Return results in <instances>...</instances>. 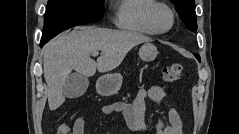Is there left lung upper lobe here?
Returning a JSON list of instances; mask_svg holds the SVG:
<instances>
[{"label": "left lung upper lobe", "instance_id": "obj_1", "mask_svg": "<svg viewBox=\"0 0 239 134\" xmlns=\"http://www.w3.org/2000/svg\"><path fill=\"white\" fill-rule=\"evenodd\" d=\"M176 7V10L184 22L185 26L193 31H197V20L195 12L194 0H171ZM200 61V58L198 59Z\"/></svg>", "mask_w": 239, "mask_h": 134}]
</instances>
